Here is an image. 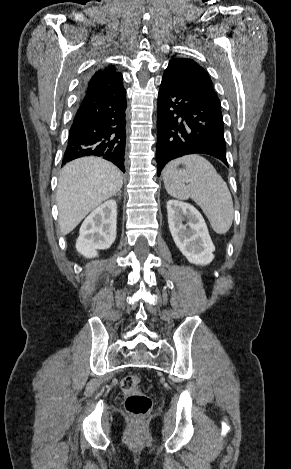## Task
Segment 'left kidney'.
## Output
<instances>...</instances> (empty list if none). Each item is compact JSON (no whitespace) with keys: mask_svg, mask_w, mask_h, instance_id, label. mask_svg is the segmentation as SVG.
Segmentation results:
<instances>
[{"mask_svg":"<svg viewBox=\"0 0 291 469\" xmlns=\"http://www.w3.org/2000/svg\"><path fill=\"white\" fill-rule=\"evenodd\" d=\"M168 224L176 246L190 263L208 265L214 259L215 246L200 212L178 200L167 202ZM186 221V224L183 222Z\"/></svg>","mask_w":291,"mask_h":469,"instance_id":"5707ae66","label":"left kidney"}]
</instances>
